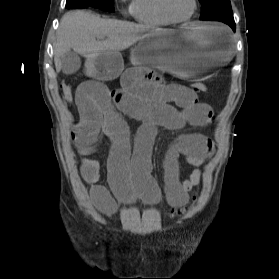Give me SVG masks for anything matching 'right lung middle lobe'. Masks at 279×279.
Masks as SVG:
<instances>
[{"label": "right lung middle lobe", "instance_id": "dd1d6c3e", "mask_svg": "<svg viewBox=\"0 0 279 279\" xmlns=\"http://www.w3.org/2000/svg\"><path fill=\"white\" fill-rule=\"evenodd\" d=\"M78 3L109 12L114 11V0H67L66 7Z\"/></svg>", "mask_w": 279, "mask_h": 279}]
</instances>
